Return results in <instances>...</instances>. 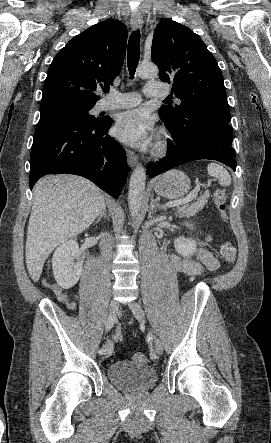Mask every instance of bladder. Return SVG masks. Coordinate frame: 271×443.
<instances>
[{
    "label": "bladder",
    "mask_w": 271,
    "mask_h": 443,
    "mask_svg": "<svg viewBox=\"0 0 271 443\" xmlns=\"http://www.w3.org/2000/svg\"><path fill=\"white\" fill-rule=\"evenodd\" d=\"M110 382L117 388L138 393L152 388L157 381L154 368L128 360L113 362L107 370Z\"/></svg>",
    "instance_id": "obj_1"
}]
</instances>
